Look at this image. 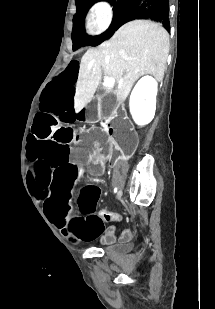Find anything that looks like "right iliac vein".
<instances>
[{
	"instance_id": "1",
	"label": "right iliac vein",
	"mask_w": 215,
	"mask_h": 309,
	"mask_svg": "<svg viewBox=\"0 0 215 309\" xmlns=\"http://www.w3.org/2000/svg\"><path fill=\"white\" fill-rule=\"evenodd\" d=\"M121 196H122V191L120 190V191H118V193H117V198L119 199Z\"/></svg>"
}]
</instances>
